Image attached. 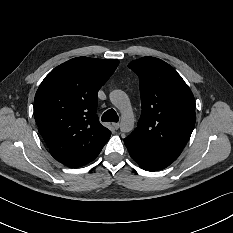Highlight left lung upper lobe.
Listing matches in <instances>:
<instances>
[{"label": "left lung upper lobe", "mask_w": 233, "mask_h": 233, "mask_svg": "<svg viewBox=\"0 0 233 233\" xmlns=\"http://www.w3.org/2000/svg\"><path fill=\"white\" fill-rule=\"evenodd\" d=\"M140 81L141 117L131 135L180 155L195 126V99L182 77L166 62L143 57L129 63Z\"/></svg>", "instance_id": "5c2ea615"}]
</instances>
